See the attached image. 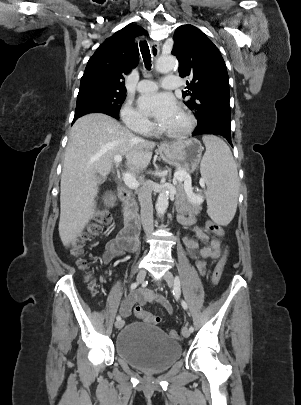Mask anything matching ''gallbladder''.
I'll return each mask as SVG.
<instances>
[{"label":"gallbladder","instance_id":"obj_1","mask_svg":"<svg viewBox=\"0 0 301 405\" xmlns=\"http://www.w3.org/2000/svg\"><path fill=\"white\" fill-rule=\"evenodd\" d=\"M103 181H105V178H102V179H101V182H103Z\"/></svg>","mask_w":301,"mask_h":405}]
</instances>
